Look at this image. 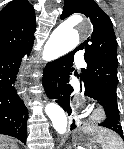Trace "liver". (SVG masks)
Instances as JSON below:
<instances>
[{
    "mask_svg": "<svg viewBox=\"0 0 124 149\" xmlns=\"http://www.w3.org/2000/svg\"><path fill=\"white\" fill-rule=\"evenodd\" d=\"M0 149H19L17 143L6 136L0 135Z\"/></svg>",
    "mask_w": 124,
    "mask_h": 149,
    "instance_id": "1",
    "label": "liver"
}]
</instances>
